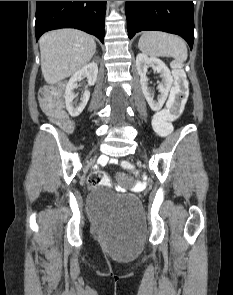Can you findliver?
<instances>
[{
  "mask_svg": "<svg viewBox=\"0 0 233 295\" xmlns=\"http://www.w3.org/2000/svg\"><path fill=\"white\" fill-rule=\"evenodd\" d=\"M39 44L41 71L48 84L58 83L77 72L96 51L94 38L76 29L47 32Z\"/></svg>",
  "mask_w": 233,
  "mask_h": 295,
  "instance_id": "liver-1",
  "label": "liver"
}]
</instances>
